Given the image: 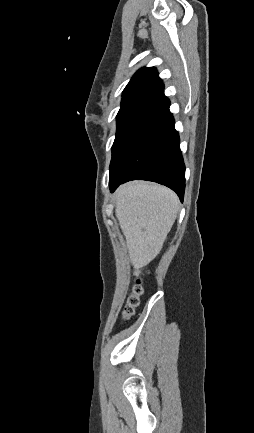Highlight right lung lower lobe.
<instances>
[{"mask_svg": "<svg viewBox=\"0 0 254 433\" xmlns=\"http://www.w3.org/2000/svg\"><path fill=\"white\" fill-rule=\"evenodd\" d=\"M169 105L161 91L128 120L112 153L111 192L121 183L142 179L171 188L183 201L185 165Z\"/></svg>", "mask_w": 254, "mask_h": 433, "instance_id": "1", "label": "right lung lower lobe"}]
</instances>
